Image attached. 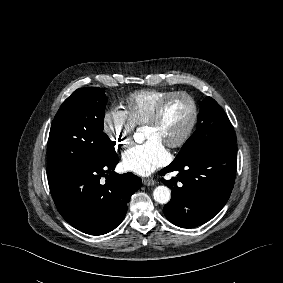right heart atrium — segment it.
<instances>
[{
	"instance_id": "obj_1",
	"label": "right heart atrium",
	"mask_w": 283,
	"mask_h": 283,
	"mask_svg": "<svg viewBox=\"0 0 283 283\" xmlns=\"http://www.w3.org/2000/svg\"><path fill=\"white\" fill-rule=\"evenodd\" d=\"M103 129L116 148L131 146L135 125L128 114L119 108H111L103 116Z\"/></svg>"
}]
</instances>
